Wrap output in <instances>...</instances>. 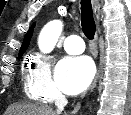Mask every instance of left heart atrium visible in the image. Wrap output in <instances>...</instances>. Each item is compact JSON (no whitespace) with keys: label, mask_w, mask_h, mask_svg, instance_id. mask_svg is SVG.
<instances>
[{"label":"left heart atrium","mask_w":131,"mask_h":115,"mask_svg":"<svg viewBox=\"0 0 131 115\" xmlns=\"http://www.w3.org/2000/svg\"><path fill=\"white\" fill-rule=\"evenodd\" d=\"M94 67L87 57H64L57 65L55 81L66 94L82 92L91 82Z\"/></svg>","instance_id":"left-heart-atrium-1"}]
</instances>
